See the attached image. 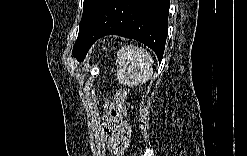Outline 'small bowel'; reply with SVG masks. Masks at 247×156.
Masks as SVG:
<instances>
[{
	"instance_id": "1",
	"label": "small bowel",
	"mask_w": 247,
	"mask_h": 156,
	"mask_svg": "<svg viewBox=\"0 0 247 156\" xmlns=\"http://www.w3.org/2000/svg\"><path fill=\"white\" fill-rule=\"evenodd\" d=\"M105 111L106 119L102 126L105 141L111 151L121 152L130 142L129 126L122 121V116L117 111L115 103H107Z\"/></svg>"
}]
</instances>
